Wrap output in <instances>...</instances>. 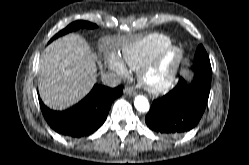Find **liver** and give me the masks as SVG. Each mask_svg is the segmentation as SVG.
Listing matches in <instances>:
<instances>
[{"instance_id":"1","label":"liver","mask_w":249,"mask_h":165,"mask_svg":"<svg viewBox=\"0 0 249 165\" xmlns=\"http://www.w3.org/2000/svg\"><path fill=\"white\" fill-rule=\"evenodd\" d=\"M109 44L101 40V48ZM97 78L96 56L78 34L69 33L51 42L38 67V89L44 104L65 110L81 101Z\"/></svg>"}]
</instances>
